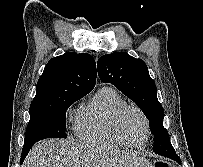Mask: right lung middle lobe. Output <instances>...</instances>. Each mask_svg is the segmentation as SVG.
I'll return each instance as SVG.
<instances>
[{"label":"right lung middle lobe","instance_id":"obj_1","mask_svg":"<svg viewBox=\"0 0 203 167\" xmlns=\"http://www.w3.org/2000/svg\"><path fill=\"white\" fill-rule=\"evenodd\" d=\"M82 97H70L47 105L30 106L24 143L45 138H67L66 110Z\"/></svg>","mask_w":203,"mask_h":167}]
</instances>
